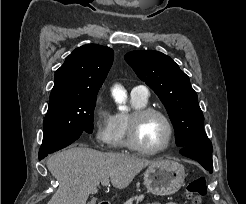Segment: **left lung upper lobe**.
Instances as JSON below:
<instances>
[{
  "label": "left lung upper lobe",
  "instance_id": "5c2ea615",
  "mask_svg": "<svg viewBox=\"0 0 246 204\" xmlns=\"http://www.w3.org/2000/svg\"><path fill=\"white\" fill-rule=\"evenodd\" d=\"M125 60L160 98L176 133V144L184 147L208 139L204 116L189 77L167 55L152 50L131 51Z\"/></svg>",
  "mask_w": 246,
  "mask_h": 204
}]
</instances>
